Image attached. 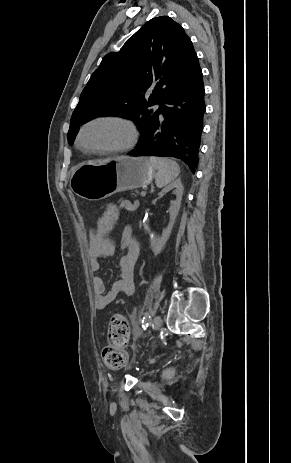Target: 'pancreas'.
Listing matches in <instances>:
<instances>
[{"instance_id":"1","label":"pancreas","mask_w":291,"mask_h":463,"mask_svg":"<svg viewBox=\"0 0 291 463\" xmlns=\"http://www.w3.org/2000/svg\"><path fill=\"white\" fill-rule=\"evenodd\" d=\"M138 195H139V192H138V191H135V192L132 193V196H133L134 198H136Z\"/></svg>"}]
</instances>
